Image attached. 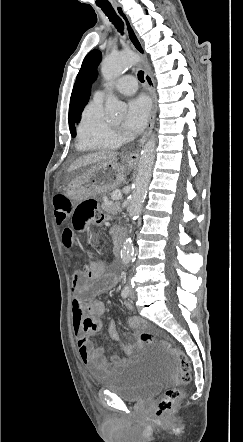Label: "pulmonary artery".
I'll use <instances>...</instances> for the list:
<instances>
[{"instance_id": "pulmonary-artery-1", "label": "pulmonary artery", "mask_w": 243, "mask_h": 442, "mask_svg": "<svg viewBox=\"0 0 243 442\" xmlns=\"http://www.w3.org/2000/svg\"><path fill=\"white\" fill-rule=\"evenodd\" d=\"M137 87L136 79L131 75H125L118 79L114 85L113 89L121 94L130 95L135 93ZM105 97V91L98 90L94 93V98L98 100H103Z\"/></svg>"}]
</instances>
